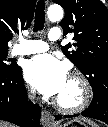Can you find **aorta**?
I'll use <instances>...</instances> for the list:
<instances>
[{
	"label": "aorta",
	"mask_w": 108,
	"mask_h": 127,
	"mask_svg": "<svg viewBox=\"0 0 108 127\" xmlns=\"http://www.w3.org/2000/svg\"><path fill=\"white\" fill-rule=\"evenodd\" d=\"M48 19L51 22L60 21L63 18V9L59 5H51L47 11Z\"/></svg>",
	"instance_id": "obj_1"
}]
</instances>
